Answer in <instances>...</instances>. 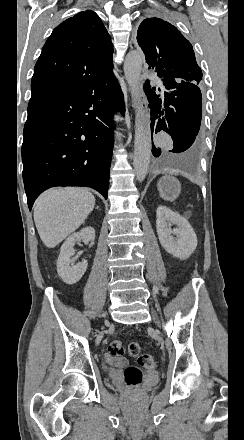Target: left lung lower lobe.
<instances>
[{
  "instance_id": "left-lung-lower-lobe-1",
  "label": "left lung lower lobe",
  "mask_w": 244,
  "mask_h": 440,
  "mask_svg": "<svg viewBox=\"0 0 244 440\" xmlns=\"http://www.w3.org/2000/svg\"><path fill=\"white\" fill-rule=\"evenodd\" d=\"M161 80L166 90L161 97L154 92L155 87L151 88L148 80L144 84L150 102L151 131L167 132L173 140V149L169 152L181 153L197 143L202 114L201 91L199 84L177 81L172 77H162ZM152 153L158 157L161 149L152 144Z\"/></svg>"
}]
</instances>
